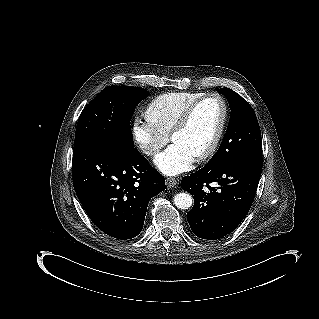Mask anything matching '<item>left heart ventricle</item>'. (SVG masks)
<instances>
[{"mask_svg":"<svg viewBox=\"0 0 319 319\" xmlns=\"http://www.w3.org/2000/svg\"><path fill=\"white\" fill-rule=\"evenodd\" d=\"M219 120V105L209 100L199 105L191 114L176 140L193 154L201 151L210 142Z\"/></svg>","mask_w":319,"mask_h":319,"instance_id":"b2bd125f","label":"left heart ventricle"}]
</instances>
